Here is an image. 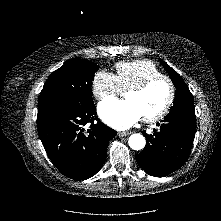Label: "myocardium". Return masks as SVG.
I'll use <instances>...</instances> for the list:
<instances>
[{"label": "myocardium", "mask_w": 221, "mask_h": 221, "mask_svg": "<svg viewBox=\"0 0 221 221\" xmlns=\"http://www.w3.org/2000/svg\"><path fill=\"white\" fill-rule=\"evenodd\" d=\"M159 81H165L168 84L169 96H168V99H167L165 105L162 107V109L159 112H157L156 114L151 115V116L142 117V121H144L146 123H154V122L160 121L168 114V112L170 111V109L174 103L175 95H176V89H175L174 83L172 82V80L169 77H167L165 75H157V76H153V77L146 79L145 81L141 82L140 84H138L134 87H131L127 91V92H134V93H143L146 90H148L153 84H155L156 82H159Z\"/></svg>", "instance_id": "obj_1"}]
</instances>
